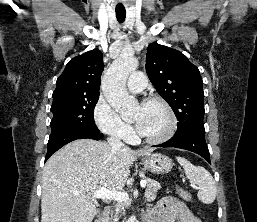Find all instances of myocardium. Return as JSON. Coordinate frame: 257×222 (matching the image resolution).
Returning <instances> with one entry per match:
<instances>
[{"instance_id": "1", "label": "myocardium", "mask_w": 257, "mask_h": 222, "mask_svg": "<svg viewBox=\"0 0 257 222\" xmlns=\"http://www.w3.org/2000/svg\"><path fill=\"white\" fill-rule=\"evenodd\" d=\"M151 103H159L164 107L169 117L168 128L163 134L156 137H146L141 135L140 133H137V137L148 144H161L168 141L174 136L177 130L178 121L172 106L169 104V102L166 99L160 96H150L145 98L141 102V105H146Z\"/></svg>"}]
</instances>
